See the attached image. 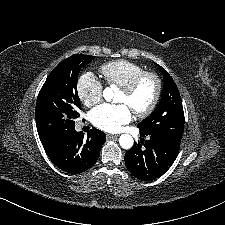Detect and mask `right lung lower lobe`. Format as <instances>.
Segmentation results:
<instances>
[{"label": "right lung lower lobe", "mask_w": 225, "mask_h": 225, "mask_svg": "<svg viewBox=\"0 0 225 225\" xmlns=\"http://www.w3.org/2000/svg\"><path fill=\"white\" fill-rule=\"evenodd\" d=\"M105 141V133L96 128L88 132L87 138H84L83 132H76L73 128L42 142V145L54 165L65 172L78 174L96 163Z\"/></svg>", "instance_id": "1"}]
</instances>
